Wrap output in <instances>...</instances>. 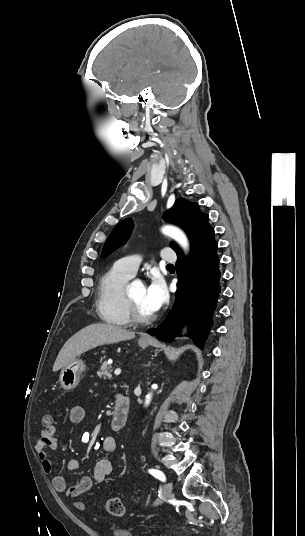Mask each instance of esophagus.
Segmentation results:
<instances>
[{"instance_id":"1","label":"esophagus","mask_w":305,"mask_h":536,"mask_svg":"<svg viewBox=\"0 0 305 536\" xmlns=\"http://www.w3.org/2000/svg\"><path fill=\"white\" fill-rule=\"evenodd\" d=\"M145 340H146V341H150V340H151V338H149V337H146V338H145Z\"/></svg>"}]
</instances>
